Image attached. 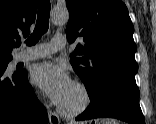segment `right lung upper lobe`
<instances>
[{
    "label": "right lung upper lobe",
    "instance_id": "right-lung-upper-lobe-1",
    "mask_svg": "<svg viewBox=\"0 0 156 124\" xmlns=\"http://www.w3.org/2000/svg\"><path fill=\"white\" fill-rule=\"evenodd\" d=\"M40 0H0V60L12 59L19 34L29 35Z\"/></svg>",
    "mask_w": 156,
    "mask_h": 124
}]
</instances>
